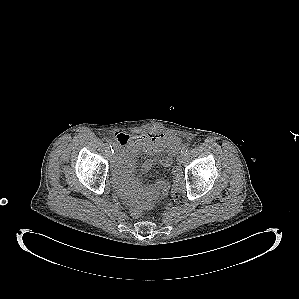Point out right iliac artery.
Segmentation results:
<instances>
[{
  "instance_id": "right-iliac-artery-1",
  "label": "right iliac artery",
  "mask_w": 299,
  "mask_h": 299,
  "mask_svg": "<svg viewBox=\"0 0 299 299\" xmlns=\"http://www.w3.org/2000/svg\"><path fill=\"white\" fill-rule=\"evenodd\" d=\"M110 145L112 152H114V150L112 149V146L114 147V142L112 140H110Z\"/></svg>"
}]
</instances>
